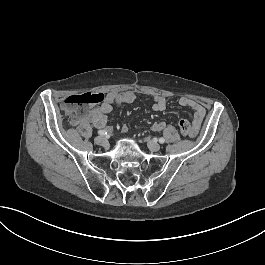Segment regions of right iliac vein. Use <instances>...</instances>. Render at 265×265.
<instances>
[{
	"instance_id": "1",
	"label": "right iliac vein",
	"mask_w": 265,
	"mask_h": 265,
	"mask_svg": "<svg viewBox=\"0 0 265 265\" xmlns=\"http://www.w3.org/2000/svg\"><path fill=\"white\" fill-rule=\"evenodd\" d=\"M95 143L99 144V145H105L106 143V138L102 135L96 136L94 139Z\"/></svg>"
}]
</instances>
